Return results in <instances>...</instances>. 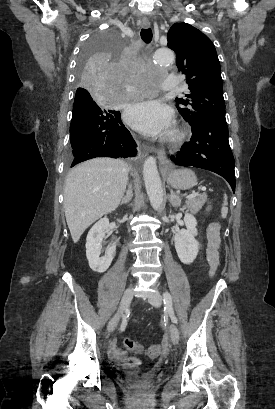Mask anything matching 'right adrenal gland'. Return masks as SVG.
Listing matches in <instances>:
<instances>
[{
    "label": "right adrenal gland",
    "instance_id": "1",
    "mask_svg": "<svg viewBox=\"0 0 275 409\" xmlns=\"http://www.w3.org/2000/svg\"><path fill=\"white\" fill-rule=\"evenodd\" d=\"M133 196V192H132V188H131V184H129V188L125 194V196H123L120 205H127V202H130L131 198Z\"/></svg>",
    "mask_w": 275,
    "mask_h": 409
}]
</instances>
